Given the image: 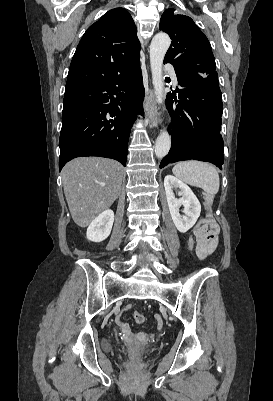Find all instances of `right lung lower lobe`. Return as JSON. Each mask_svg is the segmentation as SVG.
<instances>
[{
    "instance_id": "right-lung-lower-lobe-1",
    "label": "right lung lower lobe",
    "mask_w": 273,
    "mask_h": 401,
    "mask_svg": "<svg viewBox=\"0 0 273 401\" xmlns=\"http://www.w3.org/2000/svg\"><path fill=\"white\" fill-rule=\"evenodd\" d=\"M139 60L100 85L64 97L59 170L80 156H100L126 166L127 144L137 114L143 115Z\"/></svg>"
}]
</instances>
